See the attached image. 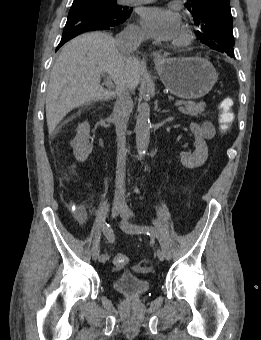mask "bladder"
Returning <instances> with one entry per match:
<instances>
[{
	"label": "bladder",
	"instance_id": "obj_1",
	"mask_svg": "<svg viewBox=\"0 0 261 340\" xmlns=\"http://www.w3.org/2000/svg\"><path fill=\"white\" fill-rule=\"evenodd\" d=\"M114 289L129 298L140 297L148 293V282L132 274H121L114 279Z\"/></svg>",
	"mask_w": 261,
	"mask_h": 340
}]
</instances>
